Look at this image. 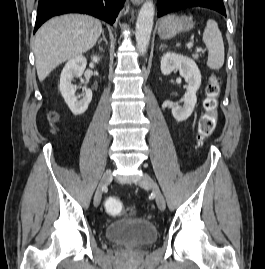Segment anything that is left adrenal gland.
I'll return each mask as SVG.
<instances>
[{
	"mask_svg": "<svg viewBox=\"0 0 265 269\" xmlns=\"http://www.w3.org/2000/svg\"><path fill=\"white\" fill-rule=\"evenodd\" d=\"M166 47H167V46L164 45V44H161V45H160V49H162V50H163L164 48H166Z\"/></svg>",
	"mask_w": 265,
	"mask_h": 269,
	"instance_id": "a2214340",
	"label": "left adrenal gland"
}]
</instances>
